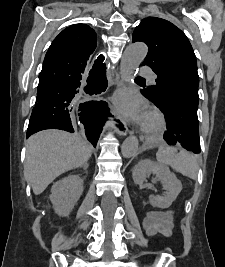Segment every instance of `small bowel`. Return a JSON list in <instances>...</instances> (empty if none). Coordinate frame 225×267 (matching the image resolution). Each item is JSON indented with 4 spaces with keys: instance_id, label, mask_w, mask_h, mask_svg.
Masks as SVG:
<instances>
[{
    "instance_id": "c3829d8e",
    "label": "small bowel",
    "mask_w": 225,
    "mask_h": 267,
    "mask_svg": "<svg viewBox=\"0 0 225 267\" xmlns=\"http://www.w3.org/2000/svg\"><path fill=\"white\" fill-rule=\"evenodd\" d=\"M144 226L149 236L160 233L168 237L173 231L172 212L151 211L144 219Z\"/></svg>"
}]
</instances>
